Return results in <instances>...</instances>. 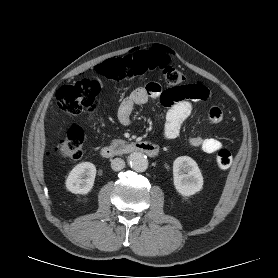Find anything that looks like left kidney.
<instances>
[{
    "mask_svg": "<svg viewBox=\"0 0 278 278\" xmlns=\"http://www.w3.org/2000/svg\"><path fill=\"white\" fill-rule=\"evenodd\" d=\"M175 189L182 196H192L203 187V176L197 163L189 156L178 157L173 163Z\"/></svg>",
    "mask_w": 278,
    "mask_h": 278,
    "instance_id": "5707ae66",
    "label": "left kidney"
}]
</instances>
